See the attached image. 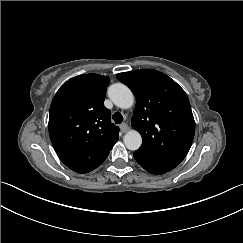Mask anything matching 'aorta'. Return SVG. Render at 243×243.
Here are the masks:
<instances>
[{"instance_id":"762f6f07","label":"aorta","mask_w":243,"mask_h":243,"mask_svg":"<svg viewBox=\"0 0 243 243\" xmlns=\"http://www.w3.org/2000/svg\"><path fill=\"white\" fill-rule=\"evenodd\" d=\"M108 96L112 102L120 109L128 110L134 105V95L132 91L122 83H115L108 89ZM124 144L129 150H136L142 144L141 134L130 129L124 135Z\"/></svg>"}]
</instances>
